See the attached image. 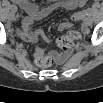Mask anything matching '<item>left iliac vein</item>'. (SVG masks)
<instances>
[{"mask_svg":"<svg viewBox=\"0 0 103 103\" xmlns=\"http://www.w3.org/2000/svg\"><path fill=\"white\" fill-rule=\"evenodd\" d=\"M88 24H89V25L92 24V20H91V19L88 20Z\"/></svg>","mask_w":103,"mask_h":103,"instance_id":"obj_1","label":"left iliac vein"}]
</instances>
